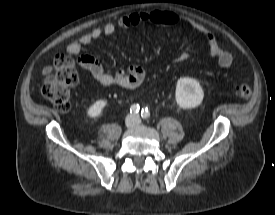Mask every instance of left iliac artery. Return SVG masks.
<instances>
[{
	"label": "left iliac artery",
	"mask_w": 275,
	"mask_h": 215,
	"mask_svg": "<svg viewBox=\"0 0 275 215\" xmlns=\"http://www.w3.org/2000/svg\"><path fill=\"white\" fill-rule=\"evenodd\" d=\"M141 116L144 119H148L150 117V112H149L148 108L142 109Z\"/></svg>",
	"instance_id": "1"
}]
</instances>
